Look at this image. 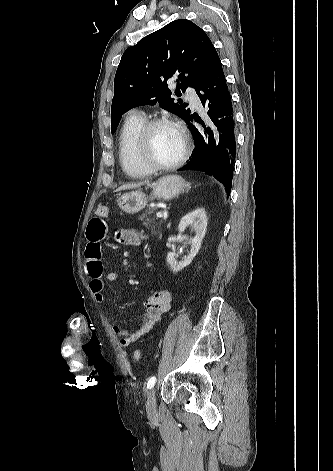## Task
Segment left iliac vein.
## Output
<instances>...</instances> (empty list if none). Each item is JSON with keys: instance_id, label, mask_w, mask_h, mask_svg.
<instances>
[{"instance_id": "obj_1", "label": "left iliac vein", "mask_w": 333, "mask_h": 471, "mask_svg": "<svg viewBox=\"0 0 333 471\" xmlns=\"http://www.w3.org/2000/svg\"><path fill=\"white\" fill-rule=\"evenodd\" d=\"M146 410L149 416H154L156 414V398H155V390L151 389L147 395L146 401Z\"/></svg>"}]
</instances>
